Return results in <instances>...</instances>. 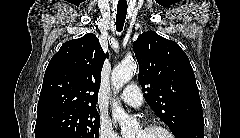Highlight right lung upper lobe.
I'll return each instance as SVG.
<instances>
[{
  "label": "right lung upper lobe",
  "mask_w": 240,
  "mask_h": 138,
  "mask_svg": "<svg viewBox=\"0 0 240 138\" xmlns=\"http://www.w3.org/2000/svg\"><path fill=\"white\" fill-rule=\"evenodd\" d=\"M106 57L108 53L92 33L65 42L47 66L37 115L59 109H96Z\"/></svg>",
  "instance_id": "cb5924a9"
}]
</instances>
